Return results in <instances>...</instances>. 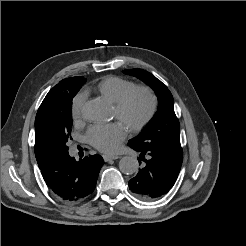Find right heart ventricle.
I'll list each match as a JSON object with an SVG mask.
<instances>
[{
    "mask_svg": "<svg viewBox=\"0 0 246 246\" xmlns=\"http://www.w3.org/2000/svg\"><path fill=\"white\" fill-rule=\"evenodd\" d=\"M135 87L136 83L133 81L118 76H107L97 84L96 89L103 97L116 103Z\"/></svg>",
    "mask_w": 246,
    "mask_h": 246,
    "instance_id": "right-heart-ventricle-1",
    "label": "right heart ventricle"
}]
</instances>
